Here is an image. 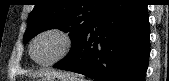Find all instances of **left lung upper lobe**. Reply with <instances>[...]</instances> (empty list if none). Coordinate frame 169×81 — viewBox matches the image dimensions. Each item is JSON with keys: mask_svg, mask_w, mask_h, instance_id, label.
<instances>
[{"mask_svg": "<svg viewBox=\"0 0 169 81\" xmlns=\"http://www.w3.org/2000/svg\"><path fill=\"white\" fill-rule=\"evenodd\" d=\"M110 0H37L28 16L23 41L26 44L47 29L70 32L72 47L58 63L66 61L75 51L88 27L95 21Z\"/></svg>", "mask_w": 169, "mask_h": 81, "instance_id": "5c2ea615", "label": "left lung upper lobe"}]
</instances>
